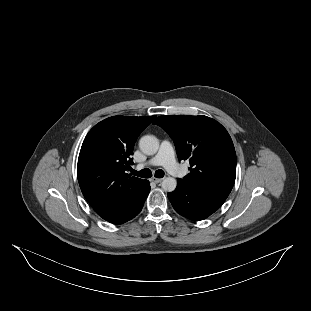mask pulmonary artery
I'll return each mask as SVG.
<instances>
[{
	"label": "pulmonary artery",
	"mask_w": 311,
	"mask_h": 311,
	"mask_svg": "<svg viewBox=\"0 0 311 311\" xmlns=\"http://www.w3.org/2000/svg\"><path fill=\"white\" fill-rule=\"evenodd\" d=\"M176 165L174 149L169 141L164 140L160 144L157 154L147 162L139 164L137 167L162 166L171 173Z\"/></svg>",
	"instance_id": "1"
}]
</instances>
